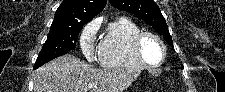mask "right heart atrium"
<instances>
[{"label":"right heart atrium","mask_w":225,"mask_h":92,"mask_svg":"<svg viewBox=\"0 0 225 92\" xmlns=\"http://www.w3.org/2000/svg\"><path fill=\"white\" fill-rule=\"evenodd\" d=\"M99 25L96 20L87 23L79 37L81 51L85 59L89 62L97 60L100 51V44L97 42Z\"/></svg>","instance_id":"right-heart-atrium-1"}]
</instances>
